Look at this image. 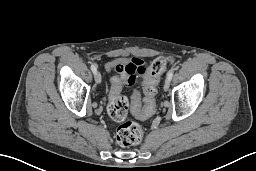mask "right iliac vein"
Instances as JSON below:
<instances>
[{"label":"right iliac vein","instance_id":"obj_1","mask_svg":"<svg viewBox=\"0 0 256 171\" xmlns=\"http://www.w3.org/2000/svg\"><path fill=\"white\" fill-rule=\"evenodd\" d=\"M94 77H95L96 83L100 84L101 83V74L99 71H96Z\"/></svg>","mask_w":256,"mask_h":171}]
</instances>
